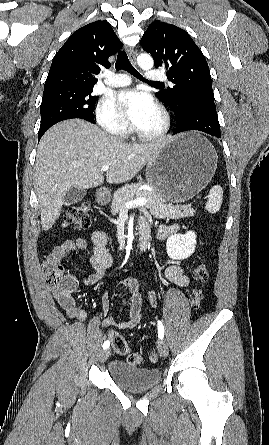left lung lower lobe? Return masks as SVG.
<instances>
[{"instance_id":"left-lung-lower-lobe-1","label":"left lung lower lobe","mask_w":269,"mask_h":445,"mask_svg":"<svg viewBox=\"0 0 269 445\" xmlns=\"http://www.w3.org/2000/svg\"><path fill=\"white\" fill-rule=\"evenodd\" d=\"M187 130H199L220 137V125L214 101L198 98L185 102L183 115L176 119L173 134Z\"/></svg>"}]
</instances>
